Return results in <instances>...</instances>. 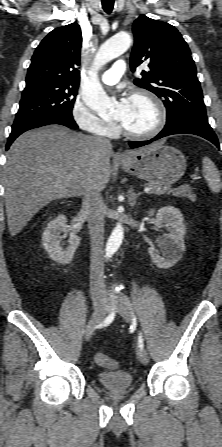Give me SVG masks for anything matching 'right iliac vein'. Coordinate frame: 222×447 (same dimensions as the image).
Here are the masks:
<instances>
[{
    "label": "right iliac vein",
    "mask_w": 222,
    "mask_h": 447,
    "mask_svg": "<svg viewBox=\"0 0 222 447\" xmlns=\"http://www.w3.org/2000/svg\"><path fill=\"white\" fill-rule=\"evenodd\" d=\"M106 312L107 308L104 306L95 307L92 317L84 330V337L86 341H88L91 338L95 325H97L103 320Z\"/></svg>",
    "instance_id": "63e3f726"
}]
</instances>
